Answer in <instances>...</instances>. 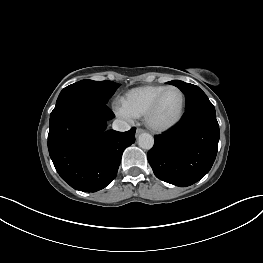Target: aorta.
I'll list each match as a JSON object with an SVG mask.
<instances>
[{"instance_id":"762f6f07","label":"aorta","mask_w":263,"mask_h":263,"mask_svg":"<svg viewBox=\"0 0 263 263\" xmlns=\"http://www.w3.org/2000/svg\"><path fill=\"white\" fill-rule=\"evenodd\" d=\"M154 144V138L152 135H150L149 133H142L139 135L138 137V145L142 148V149H151L153 147Z\"/></svg>"}]
</instances>
